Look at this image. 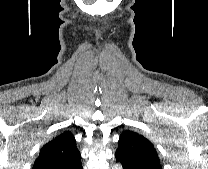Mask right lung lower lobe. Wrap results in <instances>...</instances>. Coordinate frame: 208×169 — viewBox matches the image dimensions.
<instances>
[{
    "instance_id": "98d812e1",
    "label": "right lung lower lobe",
    "mask_w": 208,
    "mask_h": 169,
    "mask_svg": "<svg viewBox=\"0 0 208 169\" xmlns=\"http://www.w3.org/2000/svg\"><path fill=\"white\" fill-rule=\"evenodd\" d=\"M68 169H83L81 160L78 161V162H76L74 165H72V166L69 167Z\"/></svg>"
}]
</instances>
